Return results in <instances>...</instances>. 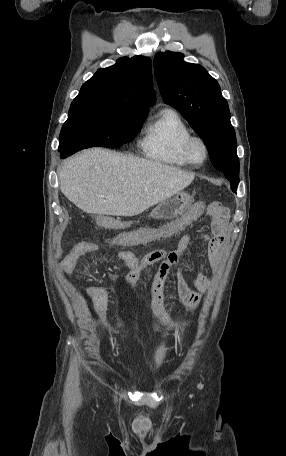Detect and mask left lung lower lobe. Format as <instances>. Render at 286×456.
<instances>
[{"mask_svg": "<svg viewBox=\"0 0 286 456\" xmlns=\"http://www.w3.org/2000/svg\"><path fill=\"white\" fill-rule=\"evenodd\" d=\"M236 190H237V187L232 188V191H233V192H236Z\"/></svg>", "mask_w": 286, "mask_h": 456, "instance_id": "1", "label": "left lung lower lobe"}]
</instances>
